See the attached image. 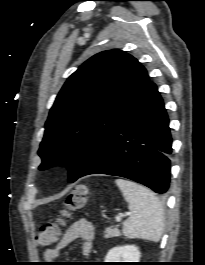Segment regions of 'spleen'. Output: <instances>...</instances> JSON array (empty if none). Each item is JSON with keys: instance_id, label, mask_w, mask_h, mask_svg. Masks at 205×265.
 Instances as JSON below:
<instances>
[{"instance_id": "obj_1", "label": "spleen", "mask_w": 205, "mask_h": 265, "mask_svg": "<svg viewBox=\"0 0 205 265\" xmlns=\"http://www.w3.org/2000/svg\"><path fill=\"white\" fill-rule=\"evenodd\" d=\"M116 184L129 204L131 216L124 222L123 234L158 242L164 231V210L158 197L148 188L125 179Z\"/></svg>"}]
</instances>
